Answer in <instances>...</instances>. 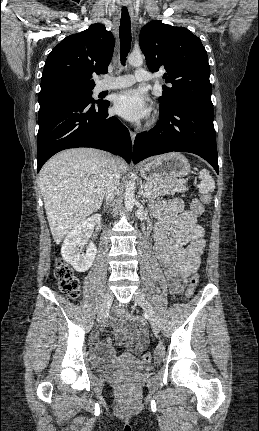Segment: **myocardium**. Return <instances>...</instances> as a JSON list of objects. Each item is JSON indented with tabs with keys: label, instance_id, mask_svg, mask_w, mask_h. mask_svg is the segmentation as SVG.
<instances>
[{
	"label": "myocardium",
	"instance_id": "obj_1",
	"mask_svg": "<svg viewBox=\"0 0 259 431\" xmlns=\"http://www.w3.org/2000/svg\"><path fill=\"white\" fill-rule=\"evenodd\" d=\"M155 119H153L151 122H150V124L149 125H153L154 123H155Z\"/></svg>",
	"mask_w": 259,
	"mask_h": 431
}]
</instances>
